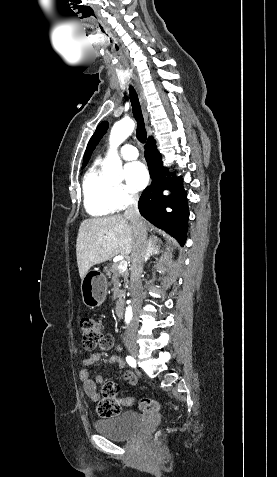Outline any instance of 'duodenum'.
Instances as JSON below:
<instances>
[{"label": "duodenum", "mask_w": 277, "mask_h": 477, "mask_svg": "<svg viewBox=\"0 0 277 477\" xmlns=\"http://www.w3.org/2000/svg\"><path fill=\"white\" fill-rule=\"evenodd\" d=\"M115 313L119 318H122L124 316V307L122 301H118L115 304Z\"/></svg>", "instance_id": "410a0bca"}]
</instances>
